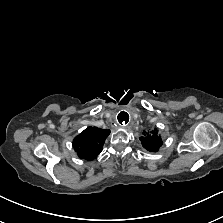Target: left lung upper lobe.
<instances>
[{
	"mask_svg": "<svg viewBox=\"0 0 223 223\" xmlns=\"http://www.w3.org/2000/svg\"><path fill=\"white\" fill-rule=\"evenodd\" d=\"M140 141L143 147L151 152L158 151L163 144L161 136L158 134L156 129L150 132L144 131V136L140 137Z\"/></svg>",
	"mask_w": 223,
	"mask_h": 223,
	"instance_id": "left-lung-upper-lobe-1",
	"label": "left lung upper lobe"
}]
</instances>
